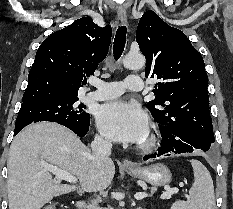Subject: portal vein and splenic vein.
Segmentation results:
<instances>
[{
    "label": "portal vein and splenic vein",
    "mask_w": 233,
    "mask_h": 209,
    "mask_svg": "<svg viewBox=\"0 0 233 209\" xmlns=\"http://www.w3.org/2000/svg\"><path fill=\"white\" fill-rule=\"evenodd\" d=\"M44 167L51 173H53L58 181L60 180H65L69 183H77V178L70 174L69 172H66L62 169H59L55 166L49 165V164H44ZM179 192L178 188H169L164 192L160 198L161 199H169L171 198L172 194H176ZM147 197L146 193H139L135 195L136 200H141L143 198Z\"/></svg>",
    "instance_id": "obj_1"
}]
</instances>
